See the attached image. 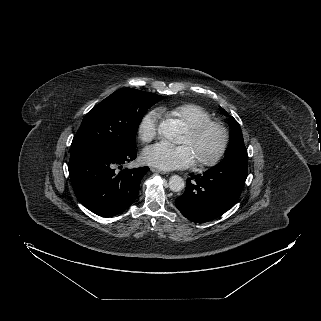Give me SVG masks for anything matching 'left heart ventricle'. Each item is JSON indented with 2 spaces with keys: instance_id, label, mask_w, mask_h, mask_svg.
<instances>
[{
  "instance_id": "left-heart-ventricle-1",
  "label": "left heart ventricle",
  "mask_w": 321,
  "mask_h": 321,
  "mask_svg": "<svg viewBox=\"0 0 321 321\" xmlns=\"http://www.w3.org/2000/svg\"><path fill=\"white\" fill-rule=\"evenodd\" d=\"M220 142V133L216 128H210L199 138L192 139L185 131L180 143L190 147L194 160L210 157L218 148Z\"/></svg>"
}]
</instances>
